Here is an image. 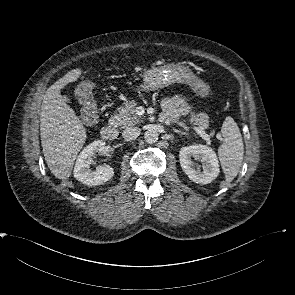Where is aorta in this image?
Here are the masks:
<instances>
[{
	"label": "aorta",
	"mask_w": 295,
	"mask_h": 295,
	"mask_svg": "<svg viewBox=\"0 0 295 295\" xmlns=\"http://www.w3.org/2000/svg\"><path fill=\"white\" fill-rule=\"evenodd\" d=\"M144 138L147 143L153 144L158 140V132L154 129H149L145 132Z\"/></svg>",
	"instance_id": "762f6f07"
}]
</instances>
